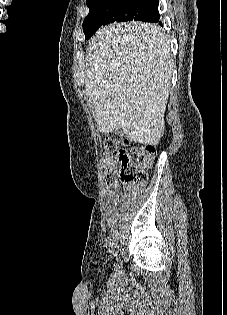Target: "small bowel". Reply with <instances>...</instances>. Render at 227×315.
Instances as JSON below:
<instances>
[{
  "label": "small bowel",
  "mask_w": 227,
  "mask_h": 315,
  "mask_svg": "<svg viewBox=\"0 0 227 315\" xmlns=\"http://www.w3.org/2000/svg\"><path fill=\"white\" fill-rule=\"evenodd\" d=\"M107 193V223L112 225L117 221L121 212L136 199L139 190L129 186L127 187L126 192L122 193L119 190V185L116 183L107 189Z\"/></svg>",
  "instance_id": "1"
}]
</instances>
